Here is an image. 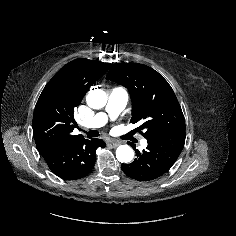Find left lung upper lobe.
I'll list each match as a JSON object with an SVG mask.
<instances>
[{
  "instance_id": "5c2ea615",
  "label": "left lung upper lobe",
  "mask_w": 236,
  "mask_h": 236,
  "mask_svg": "<svg viewBox=\"0 0 236 236\" xmlns=\"http://www.w3.org/2000/svg\"><path fill=\"white\" fill-rule=\"evenodd\" d=\"M111 79L128 88L133 123L146 139L185 131V119L169 83L157 71L139 63H116L108 72Z\"/></svg>"
}]
</instances>
